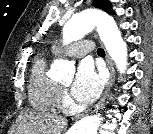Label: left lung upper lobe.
Returning <instances> with one entry per match:
<instances>
[{
	"mask_svg": "<svg viewBox=\"0 0 153 134\" xmlns=\"http://www.w3.org/2000/svg\"><path fill=\"white\" fill-rule=\"evenodd\" d=\"M93 5L99 9L106 11L109 14H115V12L112 10L111 3L107 0H94Z\"/></svg>",
	"mask_w": 153,
	"mask_h": 134,
	"instance_id": "1",
	"label": "left lung upper lobe"
}]
</instances>
